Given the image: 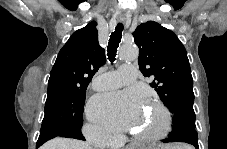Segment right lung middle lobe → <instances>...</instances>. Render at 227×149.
Here are the masks:
<instances>
[{
  "label": "right lung middle lobe",
  "mask_w": 227,
  "mask_h": 149,
  "mask_svg": "<svg viewBox=\"0 0 227 149\" xmlns=\"http://www.w3.org/2000/svg\"><path fill=\"white\" fill-rule=\"evenodd\" d=\"M86 89L55 90L47 94L41 131L80 129Z\"/></svg>",
  "instance_id": "1"
}]
</instances>
